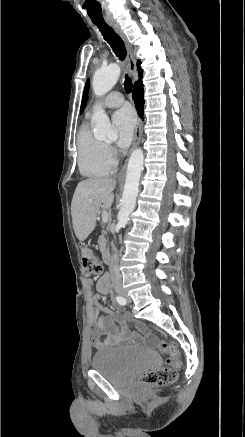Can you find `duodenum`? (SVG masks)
<instances>
[{
    "label": "duodenum",
    "instance_id": "obj_1",
    "mask_svg": "<svg viewBox=\"0 0 245 437\" xmlns=\"http://www.w3.org/2000/svg\"><path fill=\"white\" fill-rule=\"evenodd\" d=\"M102 257L105 263H108L110 261V253L106 248L102 249ZM105 277L106 282L109 281V275L105 274L103 275Z\"/></svg>",
    "mask_w": 245,
    "mask_h": 437
}]
</instances>
